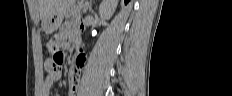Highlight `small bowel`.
Masks as SVG:
<instances>
[{
  "label": "small bowel",
  "mask_w": 232,
  "mask_h": 96,
  "mask_svg": "<svg viewBox=\"0 0 232 96\" xmlns=\"http://www.w3.org/2000/svg\"><path fill=\"white\" fill-rule=\"evenodd\" d=\"M84 24L77 22L76 20H68L64 22L55 36L56 44L66 46L70 43H84V38H79V35H83ZM50 51V50H49ZM86 64V56L83 52H78L74 58L73 67L70 70L68 84L69 95L77 96L79 81L81 73ZM48 69L49 62L45 63ZM61 78V71L50 73L41 81L40 94L42 96H48L52 85Z\"/></svg>",
  "instance_id": "1"
}]
</instances>
